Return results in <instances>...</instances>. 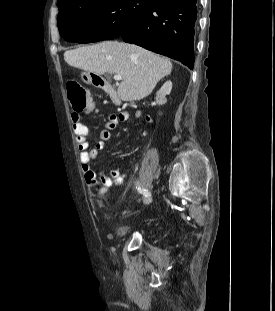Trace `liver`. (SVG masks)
<instances>
[{
	"mask_svg": "<svg viewBox=\"0 0 275 311\" xmlns=\"http://www.w3.org/2000/svg\"><path fill=\"white\" fill-rule=\"evenodd\" d=\"M64 60L72 67L98 75H121L117 93L123 101L147 97L158 81L172 71L169 59L137 45L118 41H105L68 50L64 53Z\"/></svg>",
	"mask_w": 275,
	"mask_h": 311,
	"instance_id": "6515ba94",
	"label": "liver"
}]
</instances>
